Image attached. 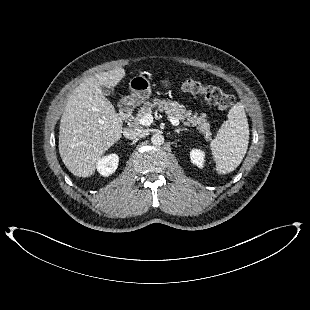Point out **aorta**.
Segmentation results:
<instances>
[{"label":"aorta","mask_w":310,"mask_h":310,"mask_svg":"<svg viewBox=\"0 0 310 310\" xmlns=\"http://www.w3.org/2000/svg\"><path fill=\"white\" fill-rule=\"evenodd\" d=\"M151 142L153 145L160 146L164 143V137L161 134H153L151 137Z\"/></svg>","instance_id":"obj_1"}]
</instances>
